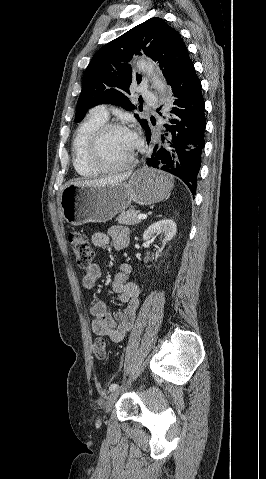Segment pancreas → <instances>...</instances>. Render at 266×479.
<instances>
[{"label":"pancreas","mask_w":266,"mask_h":479,"mask_svg":"<svg viewBox=\"0 0 266 479\" xmlns=\"http://www.w3.org/2000/svg\"><path fill=\"white\" fill-rule=\"evenodd\" d=\"M139 214V210L122 211L116 220L120 224L135 225L141 222V220L137 218Z\"/></svg>","instance_id":"1"}]
</instances>
